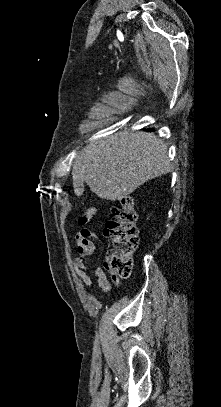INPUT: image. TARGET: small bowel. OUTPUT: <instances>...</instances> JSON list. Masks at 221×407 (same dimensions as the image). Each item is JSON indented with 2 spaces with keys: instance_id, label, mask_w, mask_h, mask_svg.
<instances>
[{
  "instance_id": "c3829d8e",
  "label": "small bowel",
  "mask_w": 221,
  "mask_h": 407,
  "mask_svg": "<svg viewBox=\"0 0 221 407\" xmlns=\"http://www.w3.org/2000/svg\"><path fill=\"white\" fill-rule=\"evenodd\" d=\"M98 236L95 233L89 235V237L84 238L82 236L77 237V251L79 256H77L72 262V268L77 275L79 281L86 287L90 288L92 286L91 276L96 277L98 285L103 294H107L110 290V282L108 280L105 269H108L106 263L103 267H97L95 269H88L86 263L95 250V240ZM113 282L116 285H120L117 276H113Z\"/></svg>"
}]
</instances>
